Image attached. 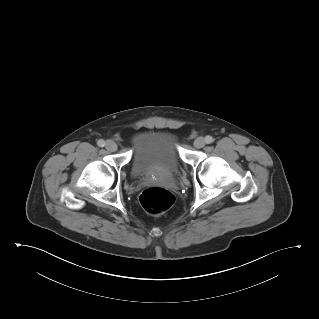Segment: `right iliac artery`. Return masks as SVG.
<instances>
[{"label":"right iliac artery","instance_id":"right-iliac-artery-1","mask_svg":"<svg viewBox=\"0 0 319 319\" xmlns=\"http://www.w3.org/2000/svg\"><path fill=\"white\" fill-rule=\"evenodd\" d=\"M97 144H98L99 147H104L105 146V141L104 140H99Z\"/></svg>","mask_w":319,"mask_h":319}]
</instances>
